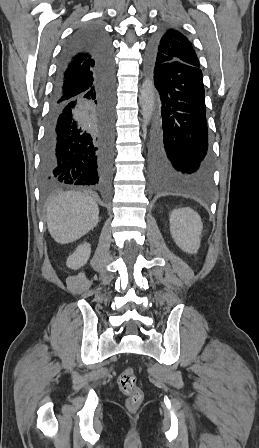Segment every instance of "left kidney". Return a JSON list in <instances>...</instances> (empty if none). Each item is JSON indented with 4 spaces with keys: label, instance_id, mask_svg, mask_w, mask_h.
<instances>
[{
    "label": "left kidney",
    "instance_id": "1",
    "mask_svg": "<svg viewBox=\"0 0 259 448\" xmlns=\"http://www.w3.org/2000/svg\"><path fill=\"white\" fill-rule=\"evenodd\" d=\"M171 236L183 250L188 254H197L200 248V234L202 232V222L197 212L191 208H176L170 214Z\"/></svg>",
    "mask_w": 259,
    "mask_h": 448
}]
</instances>
